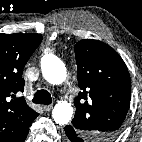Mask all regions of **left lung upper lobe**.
Masks as SVG:
<instances>
[{
  "mask_svg": "<svg viewBox=\"0 0 142 142\" xmlns=\"http://www.w3.org/2000/svg\"><path fill=\"white\" fill-rule=\"evenodd\" d=\"M78 85L71 126L86 140L113 138L126 117L131 81L127 66L109 45L83 39L75 45Z\"/></svg>",
  "mask_w": 142,
  "mask_h": 142,
  "instance_id": "5c2ea615",
  "label": "left lung upper lobe"
}]
</instances>
